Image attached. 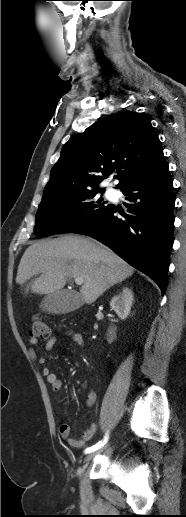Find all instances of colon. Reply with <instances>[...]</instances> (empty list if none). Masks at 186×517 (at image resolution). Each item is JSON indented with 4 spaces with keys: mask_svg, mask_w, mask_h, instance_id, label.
Returning <instances> with one entry per match:
<instances>
[{
    "mask_svg": "<svg viewBox=\"0 0 186 517\" xmlns=\"http://www.w3.org/2000/svg\"><path fill=\"white\" fill-rule=\"evenodd\" d=\"M31 337L47 340L50 338V330L46 322L39 315L34 316L30 328Z\"/></svg>",
    "mask_w": 186,
    "mask_h": 517,
    "instance_id": "5ec220e1",
    "label": "colon"
}]
</instances>
